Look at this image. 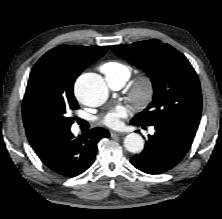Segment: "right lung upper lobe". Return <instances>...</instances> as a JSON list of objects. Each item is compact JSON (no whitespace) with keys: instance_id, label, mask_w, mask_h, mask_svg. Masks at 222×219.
I'll list each match as a JSON object with an SVG mask.
<instances>
[{"instance_id":"obj_1","label":"right lung upper lobe","mask_w":222,"mask_h":219,"mask_svg":"<svg viewBox=\"0 0 222 219\" xmlns=\"http://www.w3.org/2000/svg\"><path fill=\"white\" fill-rule=\"evenodd\" d=\"M107 49V47L61 45L48 51L46 55H57L62 59L61 68L55 79L56 84L73 90L74 81L80 73L101 58ZM24 126L30 144L42 158L50 153L56 142L67 132L27 119H24Z\"/></svg>"}]
</instances>
